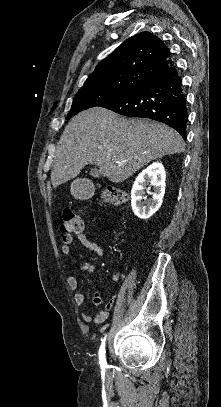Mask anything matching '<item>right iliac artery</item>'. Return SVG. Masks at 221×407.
I'll use <instances>...</instances> for the list:
<instances>
[{
  "instance_id": "right-iliac-artery-1",
  "label": "right iliac artery",
  "mask_w": 221,
  "mask_h": 407,
  "mask_svg": "<svg viewBox=\"0 0 221 407\" xmlns=\"http://www.w3.org/2000/svg\"><path fill=\"white\" fill-rule=\"evenodd\" d=\"M105 341H106V336L102 340V344L99 349V361L101 367H105L107 365L106 359H105Z\"/></svg>"
}]
</instances>
